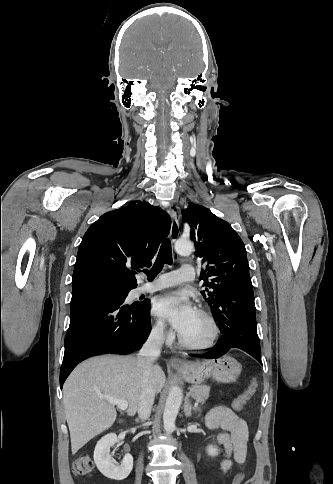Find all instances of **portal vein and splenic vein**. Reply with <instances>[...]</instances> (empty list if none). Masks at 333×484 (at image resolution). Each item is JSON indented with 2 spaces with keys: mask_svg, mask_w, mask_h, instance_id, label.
I'll return each mask as SVG.
<instances>
[{
  "mask_svg": "<svg viewBox=\"0 0 333 484\" xmlns=\"http://www.w3.org/2000/svg\"><path fill=\"white\" fill-rule=\"evenodd\" d=\"M103 398H105L109 403L117 405L118 408L122 411L126 410L128 407V402L125 399H115L109 396H104ZM197 405H198V402L195 403V406Z\"/></svg>",
  "mask_w": 333,
  "mask_h": 484,
  "instance_id": "obj_1",
  "label": "portal vein and splenic vein"
}]
</instances>
